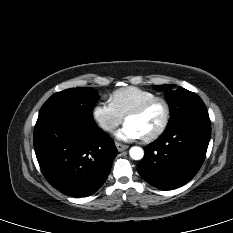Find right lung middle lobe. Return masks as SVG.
Returning <instances> with one entry per match:
<instances>
[{
  "mask_svg": "<svg viewBox=\"0 0 233 233\" xmlns=\"http://www.w3.org/2000/svg\"><path fill=\"white\" fill-rule=\"evenodd\" d=\"M100 98L89 87L66 89L53 94L41 107L38 118L53 114H70L93 121L92 107Z\"/></svg>",
  "mask_w": 233,
  "mask_h": 233,
  "instance_id": "1",
  "label": "right lung middle lobe"
}]
</instances>
